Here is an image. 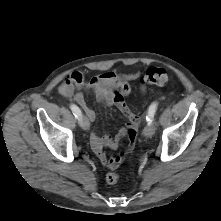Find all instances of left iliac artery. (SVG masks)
Here are the masks:
<instances>
[{
  "label": "left iliac artery",
  "instance_id": "44dca946",
  "mask_svg": "<svg viewBox=\"0 0 221 221\" xmlns=\"http://www.w3.org/2000/svg\"><path fill=\"white\" fill-rule=\"evenodd\" d=\"M157 106H158L157 102H154L149 106L148 115L146 116V120H147L148 124L152 123L154 115L157 110Z\"/></svg>",
  "mask_w": 221,
  "mask_h": 221
}]
</instances>
